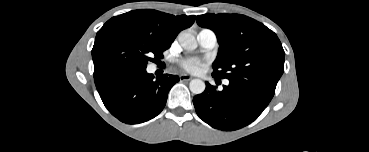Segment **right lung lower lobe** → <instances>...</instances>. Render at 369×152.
<instances>
[{
    "label": "right lung lower lobe",
    "mask_w": 369,
    "mask_h": 152,
    "mask_svg": "<svg viewBox=\"0 0 369 152\" xmlns=\"http://www.w3.org/2000/svg\"><path fill=\"white\" fill-rule=\"evenodd\" d=\"M98 93L112 115L128 124H138L157 116L164 108L178 76L156 78L146 68L119 67L95 76Z\"/></svg>",
    "instance_id": "1"
}]
</instances>
